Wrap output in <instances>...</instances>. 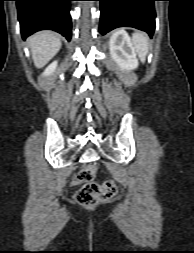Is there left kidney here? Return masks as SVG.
<instances>
[{
	"label": "left kidney",
	"mask_w": 194,
	"mask_h": 253,
	"mask_svg": "<svg viewBox=\"0 0 194 253\" xmlns=\"http://www.w3.org/2000/svg\"><path fill=\"white\" fill-rule=\"evenodd\" d=\"M111 58L123 70H134L138 67V60L131 40L127 33L118 30L113 33L109 42Z\"/></svg>",
	"instance_id": "1"
}]
</instances>
